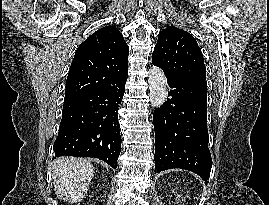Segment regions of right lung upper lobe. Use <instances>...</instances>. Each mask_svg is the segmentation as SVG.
I'll use <instances>...</instances> for the list:
<instances>
[{
	"instance_id": "cb5924a9",
	"label": "right lung upper lobe",
	"mask_w": 269,
	"mask_h": 205,
	"mask_svg": "<svg viewBox=\"0 0 269 205\" xmlns=\"http://www.w3.org/2000/svg\"><path fill=\"white\" fill-rule=\"evenodd\" d=\"M129 47L114 26H105L77 48L66 81L65 97L117 86L128 72Z\"/></svg>"
}]
</instances>
